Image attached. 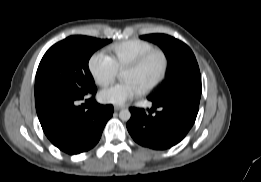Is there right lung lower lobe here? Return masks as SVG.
I'll use <instances>...</instances> for the list:
<instances>
[{
  "instance_id": "obj_1",
  "label": "right lung lower lobe",
  "mask_w": 261,
  "mask_h": 182,
  "mask_svg": "<svg viewBox=\"0 0 261 182\" xmlns=\"http://www.w3.org/2000/svg\"><path fill=\"white\" fill-rule=\"evenodd\" d=\"M81 99L61 91L35 98L45 135L61 151L71 155L93 148L113 115L112 105H100L93 98L85 101L86 106H75V102ZM85 107L88 110L85 111Z\"/></svg>"
}]
</instances>
